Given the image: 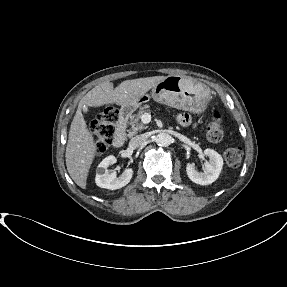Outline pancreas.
Masks as SVG:
<instances>
[{
  "mask_svg": "<svg viewBox=\"0 0 287 287\" xmlns=\"http://www.w3.org/2000/svg\"><path fill=\"white\" fill-rule=\"evenodd\" d=\"M150 112L151 110L149 109V105H144L140 107L137 114L133 115L130 118V120L128 121V125L131 126V128L128 130L129 137L147 128V126H145L142 122H140V119L144 113H150Z\"/></svg>",
  "mask_w": 287,
  "mask_h": 287,
  "instance_id": "pancreas-1",
  "label": "pancreas"
}]
</instances>
